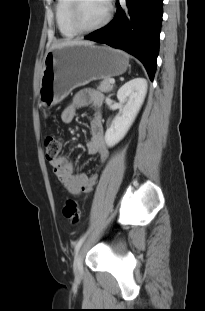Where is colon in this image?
Listing matches in <instances>:
<instances>
[{
    "mask_svg": "<svg viewBox=\"0 0 205 311\" xmlns=\"http://www.w3.org/2000/svg\"><path fill=\"white\" fill-rule=\"evenodd\" d=\"M63 148V139L61 137L49 135L45 138L46 159L52 161L56 159ZM63 215L71 225H77L80 222V207L75 199H68L63 206Z\"/></svg>",
    "mask_w": 205,
    "mask_h": 311,
    "instance_id": "obj_1",
    "label": "colon"
}]
</instances>
